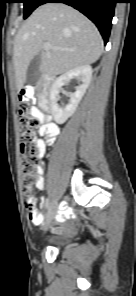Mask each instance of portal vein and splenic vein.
Segmentation results:
<instances>
[{"label": "portal vein and splenic vein", "instance_id": "portal-vein-and-splenic-vein-1", "mask_svg": "<svg viewBox=\"0 0 136 296\" xmlns=\"http://www.w3.org/2000/svg\"><path fill=\"white\" fill-rule=\"evenodd\" d=\"M43 47H44V49H46V50H49V49H60V48H58V47H54V46H52L49 42H45V43L43 44Z\"/></svg>", "mask_w": 136, "mask_h": 296}]
</instances>
